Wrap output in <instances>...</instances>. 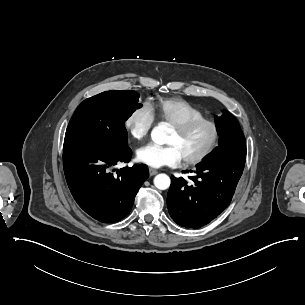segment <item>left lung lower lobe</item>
Here are the masks:
<instances>
[{
    "label": "left lung lower lobe",
    "mask_w": 305,
    "mask_h": 305,
    "mask_svg": "<svg viewBox=\"0 0 305 305\" xmlns=\"http://www.w3.org/2000/svg\"><path fill=\"white\" fill-rule=\"evenodd\" d=\"M246 157H215L196 166L193 183L171 177L167 206L180 226L197 229L208 224L230 204ZM189 172V171H185ZM192 172V170H190Z\"/></svg>",
    "instance_id": "obj_1"
}]
</instances>
